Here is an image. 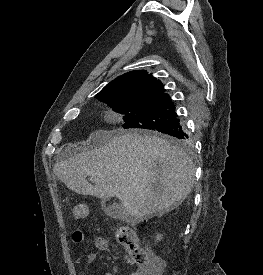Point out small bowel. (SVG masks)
<instances>
[{
	"instance_id": "small-bowel-1",
	"label": "small bowel",
	"mask_w": 263,
	"mask_h": 275,
	"mask_svg": "<svg viewBox=\"0 0 263 275\" xmlns=\"http://www.w3.org/2000/svg\"><path fill=\"white\" fill-rule=\"evenodd\" d=\"M85 239H86V234L81 230H76L72 234V241L74 243H81ZM93 243H94L95 248L100 250V251H107L109 249L108 241L103 237H95L93 239ZM75 261H76V263H80L79 259H76ZM92 262H93V257L90 256L88 258V263H92ZM128 263L130 265L134 266L130 259L128 260ZM105 275H112V274L111 273H105ZM130 275H142V274H141L139 269H135L133 272H131Z\"/></svg>"
}]
</instances>
